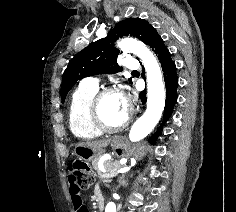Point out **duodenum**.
Instances as JSON below:
<instances>
[{
    "mask_svg": "<svg viewBox=\"0 0 236 212\" xmlns=\"http://www.w3.org/2000/svg\"><path fill=\"white\" fill-rule=\"evenodd\" d=\"M95 200L99 211H102L105 205V196L101 192H97L95 195Z\"/></svg>",
    "mask_w": 236,
    "mask_h": 212,
    "instance_id": "obj_1",
    "label": "duodenum"
}]
</instances>
